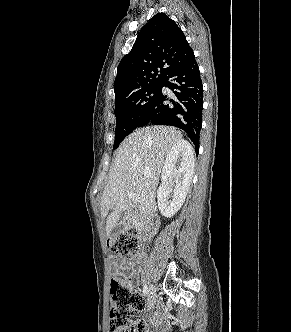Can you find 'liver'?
<instances>
[{"instance_id": "liver-1", "label": "liver", "mask_w": 291, "mask_h": 332, "mask_svg": "<svg viewBox=\"0 0 291 332\" xmlns=\"http://www.w3.org/2000/svg\"><path fill=\"white\" fill-rule=\"evenodd\" d=\"M182 134L168 126L137 129L123 140L115 153L109 180L101 197V215L106 217V235L117 224L121 213L131 208L128 193L140 195L138 210L150 216L157 210L156 190L165 157ZM109 210H112L109 213Z\"/></svg>"}]
</instances>
